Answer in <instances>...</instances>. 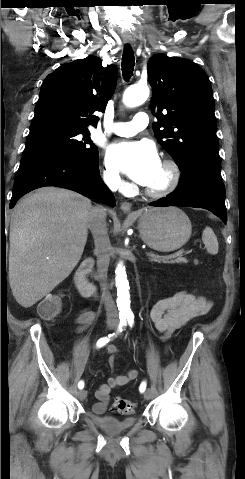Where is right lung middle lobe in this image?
Returning a JSON list of instances; mask_svg holds the SVG:
<instances>
[{"label":"right lung middle lobe","mask_w":245,"mask_h":479,"mask_svg":"<svg viewBox=\"0 0 245 479\" xmlns=\"http://www.w3.org/2000/svg\"><path fill=\"white\" fill-rule=\"evenodd\" d=\"M44 154H65L98 164V149L88 129L58 124L31 127L21 160Z\"/></svg>","instance_id":"obj_1"}]
</instances>
